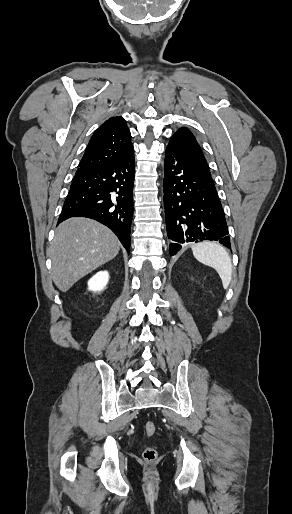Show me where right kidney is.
<instances>
[{"label":"right kidney","mask_w":292,"mask_h":514,"mask_svg":"<svg viewBox=\"0 0 292 514\" xmlns=\"http://www.w3.org/2000/svg\"><path fill=\"white\" fill-rule=\"evenodd\" d=\"M108 278V272H97L95 276L90 278L88 282V290H92V292H100V290H104L106 284H108Z\"/></svg>","instance_id":"ca27d5eb"}]
</instances>
